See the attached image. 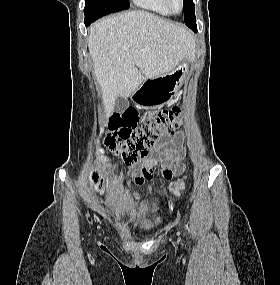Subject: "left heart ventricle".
<instances>
[{
  "label": "left heart ventricle",
  "instance_id": "obj_1",
  "mask_svg": "<svg viewBox=\"0 0 280 285\" xmlns=\"http://www.w3.org/2000/svg\"><path fill=\"white\" fill-rule=\"evenodd\" d=\"M173 10L178 11L181 7L180 0H171Z\"/></svg>",
  "mask_w": 280,
  "mask_h": 285
}]
</instances>
